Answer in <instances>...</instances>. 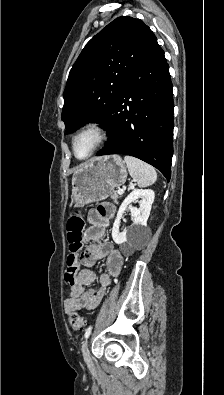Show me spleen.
<instances>
[{
	"mask_svg": "<svg viewBox=\"0 0 224 395\" xmlns=\"http://www.w3.org/2000/svg\"><path fill=\"white\" fill-rule=\"evenodd\" d=\"M124 160L127 164L130 176L137 182L139 187H148L157 180L155 169L132 156H125Z\"/></svg>",
	"mask_w": 224,
	"mask_h": 395,
	"instance_id": "1",
	"label": "spleen"
}]
</instances>
